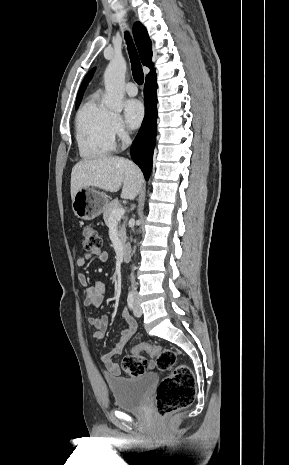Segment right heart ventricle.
Listing matches in <instances>:
<instances>
[{
    "label": "right heart ventricle",
    "instance_id": "obj_1",
    "mask_svg": "<svg viewBox=\"0 0 289 465\" xmlns=\"http://www.w3.org/2000/svg\"><path fill=\"white\" fill-rule=\"evenodd\" d=\"M111 116L101 104L98 92L91 94L79 108L75 117V138L82 158L99 159L114 150Z\"/></svg>",
    "mask_w": 289,
    "mask_h": 465
}]
</instances>
